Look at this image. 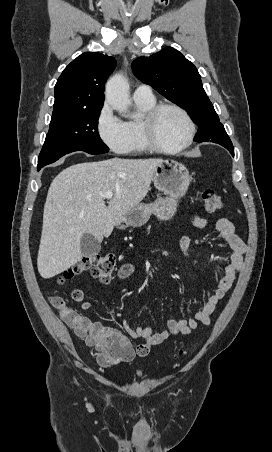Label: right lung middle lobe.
<instances>
[{"mask_svg":"<svg viewBox=\"0 0 272 452\" xmlns=\"http://www.w3.org/2000/svg\"><path fill=\"white\" fill-rule=\"evenodd\" d=\"M100 110L101 108L52 115L38 163L58 159L79 150L89 154L107 153L109 148L102 142L97 131Z\"/></svg>","mask_w":272,"mask_h":452,"instance_id":"dd1d6c3e","label":"right lung middle lobe"}]
</instances>
